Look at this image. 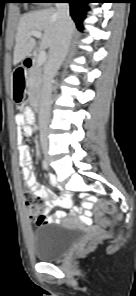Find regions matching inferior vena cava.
Segmentation results:
<instances>
[{
  "mask_svg": "<svg viewBox=\"0 0 136 296\" xmlns=\"http://www.w3.org/2000/svg\"><path fill=\"white\" fill-rule=\"evenodd\" d=\"M56 9L59 18V33L44 67L43 87L38 115L40 140L43 147L49 145L48 126L51 115L53 79L67 55L72 36V20L69 14V4L56 3Z\"/></svg>",
  "mask_w": 136,
  "mask_h": 296,
  "instance_id": "inferior-vena-cava-1",
  "label": "inferior vena cava"
}]
</instances>
